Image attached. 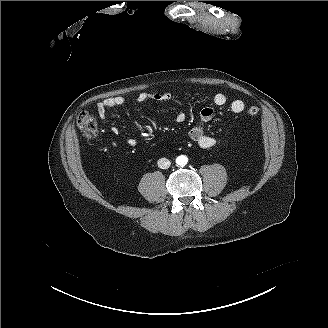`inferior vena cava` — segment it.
<instances>
[{"label":"inferior vena cava","mask_w":328,"mask_h":328,"mask_svg":"<svg viewBox=\"0 0 328 328\" xmlns=\"http://www.w3.org/2000/svg\"><path fill=\"white\" fill-rule=\"evenodd\" d=\"M171 165V162L167 158H160L158 160V167L161 169H167Z\"/></svg>","instance_id":"1"}]
</instances>
